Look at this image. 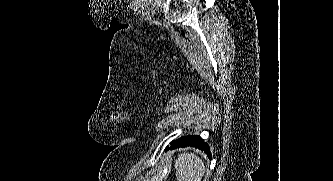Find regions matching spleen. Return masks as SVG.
<instances>
[{"label":"spleen","instance_id":"3e777b00","mask_svg":"<svg viewBox=\"0 0 333 181\" xmlns=\"http://www.w3.org/2000/svg\"><path fill=\"white\" fill-rule=\"evenodd\" d=\"M175 168L178 181H201L206 172L203 160L193 153L180 154Z\"/></svg>","mask_w":333,"mask_h":181}]
</instances>
